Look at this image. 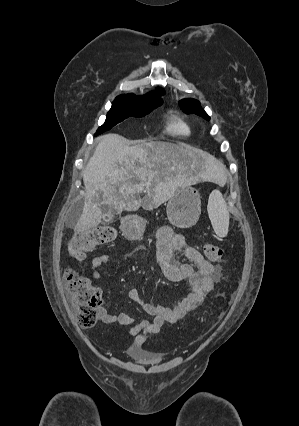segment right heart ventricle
<instances>
[{"label": "right heart ventricle", "mask_w": 299, "mask_h": 426, "mask_svg": "<svg viewBox=\"0 0 299 426\" xmlns=\"http://www.w3.org/2000/svg\"><path fill=\"white\" fill-rule=\"evenodd\" d=\"M167 129L170 133L179 136H188L191 134V127L179 114L172 115Z\"/></svg>", "instance_id": "1"}]
</instances>
